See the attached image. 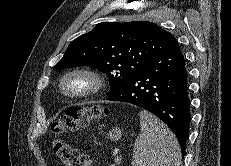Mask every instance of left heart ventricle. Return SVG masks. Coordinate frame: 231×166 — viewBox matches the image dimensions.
<instances>
[{
  "mask_svg": "<svg viewBox=\"0 0 231 166\" xmlns=\"http://www.w3.org/2000/svg\"><path fill=\"white\" fill-rule=\"evenodd\" d=\"M82 82L81 81H73L71 84H70V86H73V87H80V86H82Z\"/></svg>",
  "mask_w": 231,
  "mask_h": 166,
  "instance_id": "left-heart-ventricle-1",
  "label": "left heart ventricle"
}]
</instances>
